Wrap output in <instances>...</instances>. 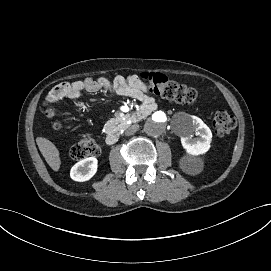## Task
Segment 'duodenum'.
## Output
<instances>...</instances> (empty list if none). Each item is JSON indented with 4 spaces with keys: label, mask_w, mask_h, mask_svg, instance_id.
Masks as SVG:
<instances>
[{
    "label": "duodenum",
    "mask_w": 271,
    "mask_h": 271,
    "mask_svg": "<svg viewBox=\"0 0 271 271\" xmlns=\"http://www.w3.org/2000/svg\"><path fill=\"white\" fill-rule=\"evenodd\" d=\"M147 113V110L142 108L138 110L133 116L132 120L134 122L140 121ZM118 141V135L115 132H110L106 136V144L111 146L114 145Z\"/></svg>",
    "instance_id": "1"
}]
</instances>
